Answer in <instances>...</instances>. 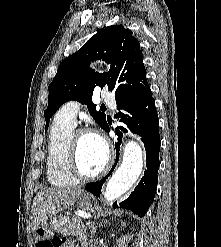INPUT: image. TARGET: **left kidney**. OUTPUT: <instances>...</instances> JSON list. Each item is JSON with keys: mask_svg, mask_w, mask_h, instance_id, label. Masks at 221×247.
Here are the masks:
<instances>
[{"mask_svg": "<svg viewBox=\"0 0 221 247\" xmlns=\"http://www.w3.org/2000/svg\"><path fill=\"white\" fill-rule=\"evenodd\" d=\"M132 236H126L121 240L120 247H127V244L131 240Z\"/></svg>", "mask_w": 221, "mask_h": 247, "instance_id": "1", "label": "left kidney"}]
</instances>
